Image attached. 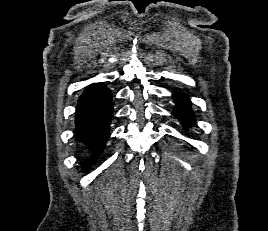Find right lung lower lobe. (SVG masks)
<instances>
[{
  "instance_id": "1",
  "label": "right lung lower lobe",
  "mask_w": 268,
  "mask_h": 231,
  "mask_svg": "<svg viewBox=\"0 0 268 231\" xmlns=\"http://www.w3.org/2000/svg\"><path fill=\"white\" fill-rule=\"evenodd\" d=\"M113 116L111 92L101 83L86 87L78 99L75 113L76 140L90 153L84 166L90 167L104 149L109 138Z\"/></svg>"
}]
</instances>
